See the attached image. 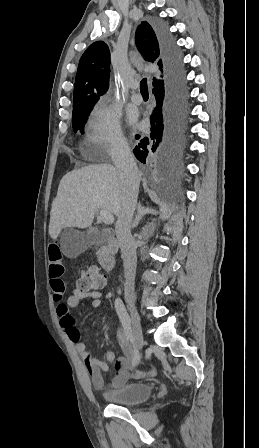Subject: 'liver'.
Wrapping results in <instances>:
<instances>
[{
  "label": "liver",
  "instance_id": "1",
  "mask_svg": "<svg viewBox=\"0 0 259 448\" xmlns=\"http://www.w3.org/2000/svg\"><path fill=\"white\" fill-rule=\"evenodd\" d=\"M118 172L109 164H93L63 176L52 204L49 236L57 240L63 228H89L98 210L122 212Z\"/></svg>",
  "mask_w": 259,
  "mask_h": 448
}]
</instances>
